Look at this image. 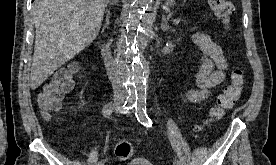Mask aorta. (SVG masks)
<instances>
[{
	"instance_id": "762f6f07",
	"label": "aorta",
	"mask_w": 276,
	"mask_h": 165,
	"mask_svg": "<svg viewBox=\"0 0 276 165\" xmlns=\"http://www.w3.org/2000/svg\"><path fill=\"white\" fill-rule=\"evenodd\" d=\"M152 0H133L119 40L117 67L132 102L146 101L147 64L142 52L150 31Z\"/></svg>"
}]
</instances>
